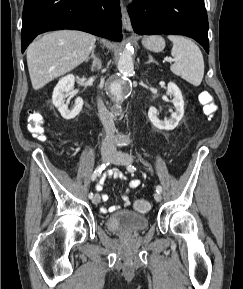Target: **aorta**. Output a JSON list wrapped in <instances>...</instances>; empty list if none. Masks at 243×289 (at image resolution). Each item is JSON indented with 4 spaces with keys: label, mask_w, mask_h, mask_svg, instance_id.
I'll list each match as a JSON object with an SVG mask.
<instances>
[{
    "label": "aorta",
    "mask_w": 243,
    "mask_h": 289,
    "mask_svg": "<svg viewBox=\"0 0 243 289\" xmlns=\"http://www.w3.org/2000/svg\"><path fill=\"white\" fill-rule=\"evenodd\" d=\"M117 68L119 72L118 78L111 82L109 90L119 108V103L123 100V93L127 80L134 73V64L130 45H128L121 53Z\"/></svg>",
    "instance_id": "1"
}]
</instances>
